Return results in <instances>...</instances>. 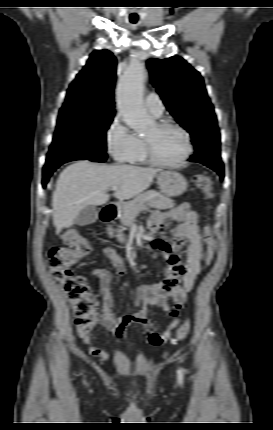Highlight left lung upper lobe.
I'll list each match as a JSON object with an SVG mask.
<instances>
[{
    "instance_id": "obj_1",
    "label": "left lung upper lobe",
    "mask_w": 273,
    "mask_h": 430,
    "mask_svg": "<svg viewBox=\"0 0 273 430\" xmlns=\"http://www.w3.org/2000/svg\"><path fill=\"white\" fill-rule=\"evenodd\" d=\"M152 84L176 121L192 137L196 152L206 145L220 146V133L213 105L203 78L183 58L150 59Z\"/></svg>"
}]
</instances>
